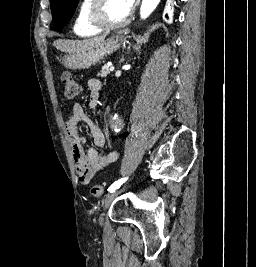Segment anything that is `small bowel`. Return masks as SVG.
Masks as SVG:
<instances>
[{"instance_id": "obj_1", "label": "small bowel", "mask_w": 256, "mask_h": 267, "mask_svg": "<svg viewBox=\"0 0 256 267\" xmlns=\"http://www.w3.org/2000/svg\"><path fill=\"white\" fill-rule=\"evenodd\" d=\"M101 87L99 79L93 78L87 82L89 107L92 110L96 109L99 103ZM81 121L87 125L95 147L87 146V138L78 127ZM65 132L72 150L75 171L83 184H89L98 171L118 160L119 154L116 151H99V149L105 150L106 148L105 135L80 104H75L67 117Z\"/></svg>"}]
</instances>
